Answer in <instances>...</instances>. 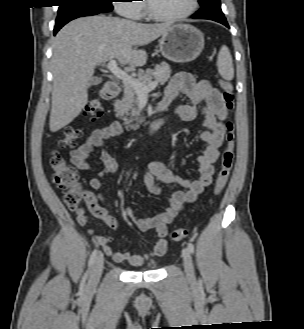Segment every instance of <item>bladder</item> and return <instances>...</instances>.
<instances>
[{
	"label": "bladder",
	"mask_w": 304,
	"mask_h": 329,
	"mask_svg": "<svg viewBox=\"0 0 304 329\" xmlns=\"http://www.w3.org/2000/svg\"><path fill=\"white\" fill-rule=\"evenodd\" d=\"M158 264V260L151 258L143 262L142 268L145 270H155Z\"/></svg>",
	"instance_id": "31cf9c89"
}]
</instances>
